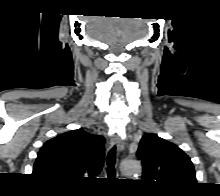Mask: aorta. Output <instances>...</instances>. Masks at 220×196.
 <instances>
[{"instance_id":"762f6f07","label":"aorta","mask_w":220,"mask_h":196,"mask_svg":"<svg viewBox=\"0 0 220 196\" xmlns=\"http://www.w3.org/2000/svg\"><path fill=\"white\" fill-rule=\"evenodd\" d=\"M121 170L127 176L134 175L141 171V165L137 160L125 159L121 163Z\"/></svg>"}]
</instances>
